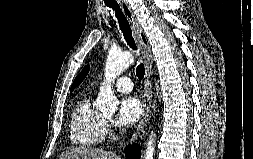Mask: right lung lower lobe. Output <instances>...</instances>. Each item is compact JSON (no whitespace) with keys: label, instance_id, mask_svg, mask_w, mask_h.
<instances>
[{"label":"right lung lower lobe","instance_id":"right-lung-lower-lobe-1","mask_svg":"<svg viewBox=\"0 0 253 159\" xmlns=\"http://www.w3.org/2000/svg\"><path fill=\"white\" fill-rule=\"evenodd\" d=\"M141 148L138 144L129 145L125 149L127 159H140Z\"/></svg>","mask_w":253,"mask_h":159}]
</instances>
